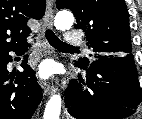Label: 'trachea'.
Here are the masks:
<instances>
[{
  "mask_svg": "<svg viewBox=\"0 0 142 119\" xmlns=\"http://www.w3.org/2000/svg\"><path fill=\"white\" fill-rule=\"evenodd\" d=\"M46 38L48 42L55 48H63V49H78V47L68 45L61 41L52 30H46Z\"/></svg>",
  "mask_w": 142,
  "mask_h": 119,
  "instance_id": "trachea-1",
  "label": "trachea"
}]
</instances>
